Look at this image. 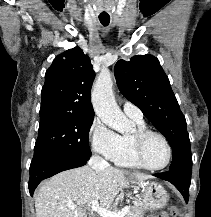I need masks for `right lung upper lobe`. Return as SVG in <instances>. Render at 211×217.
<instances>
[{
  "label": "right lung upper lobe",
  "instance_id": "obj_1",
  "mask_svg": "<svg viewBox=\"0 0 211 217\" xmlns=\"http://www.w3.org/2000/svg\"><path fill=\"white\" fill-rule=\"evenodd\" d=\"M94 78L90 59L79 47L58 55L45 75L40 119L53 115L93 117L90 91Z\"/></svg>",
  "mask_w": 211,
  "mask_h": 217
}]
</instances>
